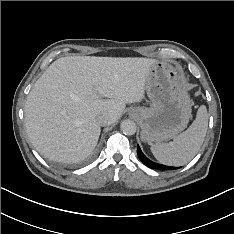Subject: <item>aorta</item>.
<instances>
[{
  "mask_svg": "<svg viewBox=\"0 0 234 234\" xmlns=\"http://www.w3.org/2000/svg\"><path fill=\"white\" fill-rule=\"evenodd\" d=\"M120 129L125 135H134L137 127L134 121L124 120L121 122Z\"/></svg>",
  "mask_w": 234,
  "mask_h": 234,
  "instance_id": "762f6f07",
  "label": "aorta"
}]
</instances>
